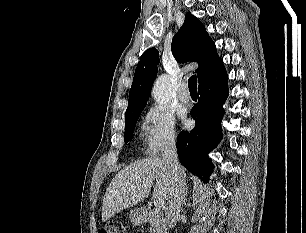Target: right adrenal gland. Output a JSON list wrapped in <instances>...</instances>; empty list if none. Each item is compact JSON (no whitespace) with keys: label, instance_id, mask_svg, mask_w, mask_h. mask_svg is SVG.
I'll use <instances>...</instances> for the list:
<instances>
[{"label":"right adrenal gland","instance_id":"1","mask_svg":"<svg viewBox=\"0 0 306 233\" xmlns=\"http://www.w3.org/2000/svg\"><path fill=\"white\" fill-rule=\"evenodd\" d=\"M187 188H186V190H185V194H184V197H183V200H182V204H186V200H187V198H186V196H187Z\"/></svg>","mask_w":306,"mask_h":233}]
</instances>
